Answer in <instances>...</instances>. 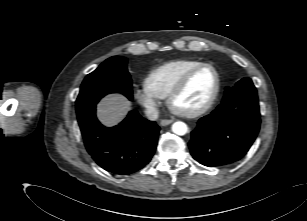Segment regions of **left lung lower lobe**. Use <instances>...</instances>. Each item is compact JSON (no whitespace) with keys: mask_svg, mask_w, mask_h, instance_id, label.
I'll use <instances>...</instances> for the list:
<instances>
[{"mask_svg":"<svg viewBox=\"0 0 307 221\" xmlns=\"http://www.w3.org/2000/svg\"><path fill=\"white\" fill-rule=\"evenodd\" d=\"M259 128L257 93L227 97L191 132V155L208 167L235 163L247 153Z\"/></svg>","mask_w":307,"mask_h":221,"instance_id":"left-lung-lower-lobe-1","label":"left lung lower lobe"}]
</instances>
